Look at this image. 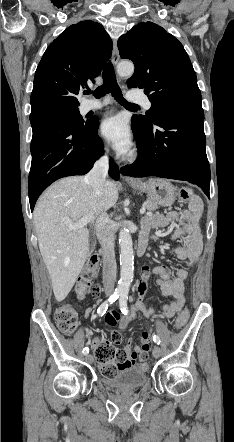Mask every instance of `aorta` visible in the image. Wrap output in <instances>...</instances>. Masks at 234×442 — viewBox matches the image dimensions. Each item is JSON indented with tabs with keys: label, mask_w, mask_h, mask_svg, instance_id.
Masks as SVG:
<instances>
[{
	"label": "aorta",
	"mask_w": 234,
	"mask_h": 442,
	"mask_svg": "<svg viewBox=\"0 0 234 442\" xmlns=\"http://www.w3.org/2000/svg\"><path fill=\"white\" fill-rule=\"evenodd\" d=\"M117 72L120 76H130L134 72V65L131 62H121L117 66ZM120 246V280L117 286V293L127 295L133 279L134 255L133 242L129 230L123 227L119 232Z\"/></svg>",
	"instance_id": "762f6f07"
}]
</instances>
